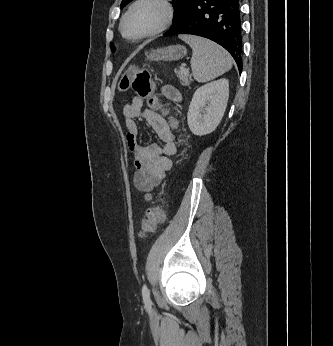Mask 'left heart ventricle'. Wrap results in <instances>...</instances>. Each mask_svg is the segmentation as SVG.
I'll return each instance as SVG.
<instances>
[{
    "instance_id": "left-heart-ventricle-1",
    "label": "left heart ventricle",
    "mask_w": 333,
    "mask_h": 346,
    "mask_svg": "<svg viewBox=\"0 0 333 346\" xmlns=\"http://www.w3.org/2000/svg\"><path fill=\"white\" fill-rule=\"evenodd\" d=\"M164 17V9L156 2L139 4L127 17L124 24L125 34L134 37L156 28Z\"/></svg>"
}]
</instances>
